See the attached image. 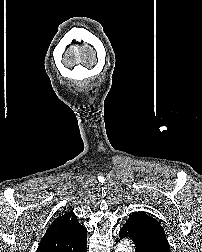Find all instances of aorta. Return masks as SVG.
Segmentation results:
<instances>
[{
    "instance_id": "aorta-1",
    "label": "aorta",
    "mask_w": 202,
    "mask_h": 252,
    "mask_svg": "<svg viewBox=\"0 0 202 252\" xmlns=\"http://www.w3.org/2000/svg\"><path fill=\"white\" fill-rule=\"evenodd\" d=\"M115 252H132L131 242L129 240L120 242L117 245Z\"/></svg>"
}]
</instances>
